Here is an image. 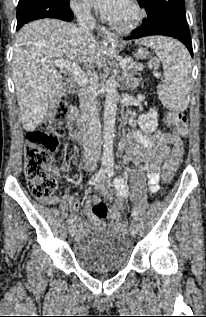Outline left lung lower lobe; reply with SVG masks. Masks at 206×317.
Returning a JSON list of instances; mask_svg holds the SVG:
<instances>
[{
  "mask_svg": "<svg viewBox=\"0 0 206 317\" xmlns=\"http://www.w3.org/2000/svg\"><path fill=\"white\" fill-rule=\"evenodd\" d=\"M135 33L124 38L125 40L137 39L150 35L170 36L181 41L193 56L191 36L186 18L175 15H161L143 21L136 28Z\"/></svg>",
  "mask_w": 206,
  "mask_h": 317,
  "instance_id": "obj_1",
  "label": "left lung lower lobe"
}]
</instances>
